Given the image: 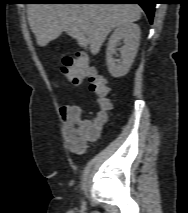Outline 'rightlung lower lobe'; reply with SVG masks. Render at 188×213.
<instances>
[{"mask_svg": "<svg viewBox=\"0 0 188 213\" xmlns=\"http://www.w3.org/2000/svg\"><path fill=\"white\" fill-rule=\"evenodd\" d=\"M77 3H131L139 4L152 22L157 0H71Z\"/></svg>", "mask_w": 188, "mask_h": 213, "instance_id": "98d812e1", "label": "right lung lower lobe"}]
</instances>
